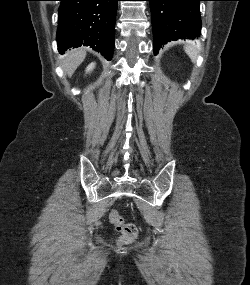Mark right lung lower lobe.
Instances as JSON below:
<instances>
[{
	"label": "right lung lower lobe",
	"instance_id": "98d812e1",
	"mask_svg": "<svg viewBox=\"0 0 250 285\" xmlns=\"http://www.w3.org/2000/svg\"><path fill=\"white\" fill-rule=\"evenodd\" d=\"M56 40L60 53L68 48L90 46L111 60L119 0H59Z\"/></svg>",
	"mask_w": 250,
	"mask_h": 285
}]
</instances>
